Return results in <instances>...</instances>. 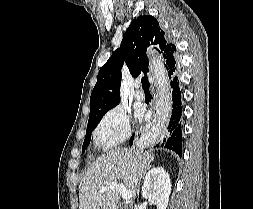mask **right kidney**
I'll use <instances>...</instances> for the list:
<instances>
[{"label": "right kidney", "mask_w": 253, "mask_h": 209, "mask_svg": "<svg viewBox=\"0 0 253 209\" xmlns=\"http://www.w3.org/2000/svg\"><path fill=\"white\" fill-rule=\"evenodd\" d=\"M170 192V176L164 168H153L146 174L142 186V196L154 201L157 209L167 208Z\"/></svg>", "instance_id": "obj_1"}]
</instances>
